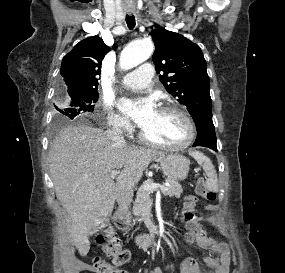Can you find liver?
Segmentation results:
<instances>
[{
    "mask_svg": "<svg viewBox=\"0 0 285 273\" xmlns=\"http://www.w3.org/2000/svg\"><path fill=\"white\" fill-rule=\"evenodd\" d=\"M164 154L118 142L87 125L68 126L51 144L50 175L57 199L72 219L69 233L80 255L90 250L89 234L111 214L115 200L127 211L133 187L152 160ZM158 158V159H157ZM121 169L115 184L111 171Z\"/></svg>",
    "mask_w": 285,
    "mask_h": 273,
    "instance_id": "6515ba94",
    "label": "liver"
}]
</instances>
